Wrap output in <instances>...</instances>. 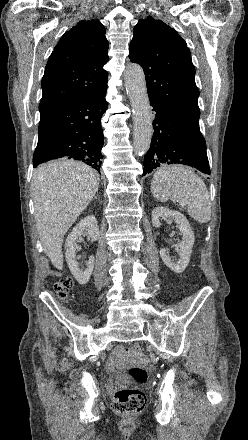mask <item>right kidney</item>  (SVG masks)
<instances>
[{
  "label": "right kidney",
  "instance_id": "1",
  "mask_svg": "<svg viewBox=\"0 0 248 440\" xmlns=\"http://www.w3.org/2000/svg\"><path fill=\"white\" fill-rule=\"evenodd\" d=\"M84 231L87 232V234L92 239V241H97L99 239L100 232L95 216L90 215L82 219L73 228V230L68 235L65 242L66 261L74 278L81 285H84L89 281L94 268L93 256L89 258V261L87 262V267L84 270L79 268V264L76 261V248H77L78 238L82 235Z\"/></svg>",
  "mask_w": 248,
  "mask_h": 440
}]
</instances>
